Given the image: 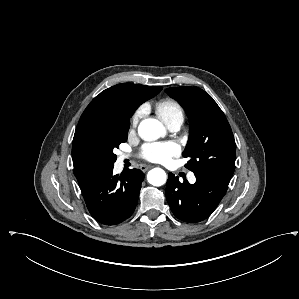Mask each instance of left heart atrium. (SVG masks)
<instances>
[{
  "label": "left heart atrium",
  "instance_id": "left-heart-atrium-1",
  "mask_svg": "<svg viewBox=\"0 0 299 299\" xmlns=\"http://www.w3.org/2000/svg\"><path fill=\"white\" fill-rule=\"evenodd\" d=\"M179 153L180 148L174 142L147 143L142 147V157L155 163H168Z\"/></svg>",
  "mask_w": 299,
  "mask_h": 299
}]
</instances>
